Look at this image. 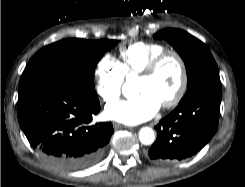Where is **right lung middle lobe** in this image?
I'll list each match as a JSON object with an SVG mask.
<instances>
[{
	"mask_svg": "<svg viewBox=\"0 0 245 187\" xmlns=\"http://www.w3.org/2000/svg\"><path fill=\"white\" fill-rule=\"evenodd\" d=\"M116 44L115 40L83 39H65L50 44L29 61L19 90L39 82H58L95 94V67L101 56Z\"/></svg>",
	"mask_w": 245,
	"mask_h": 187,
	"instance_id": "1",
	"label": "right lung middle lobe"
}]
</instances>
